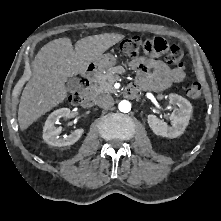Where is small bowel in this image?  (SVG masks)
<instances>
[{
  "label": "small bowel",
  "mask_w": 221,
  "mask_h": 221,
  "mask_svg": "<svg viewBox=\"0 0 221 221\" xmlns=\"http://www.w3.org/2000/svg\"><path fill=\"white\" fill-rule=\"evenodd\" d=\"M149 57L141 56L134 58L130 62V67L137 74L134 87L150 91H162L170 87L173 83L184 80L186 74L177 67H170L167 63L156 57L161 52L146 51Z\"/></svg>",
  "instance_id": "small-bowel-1"
}]
</instances>
